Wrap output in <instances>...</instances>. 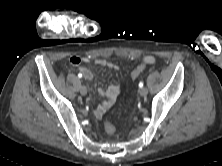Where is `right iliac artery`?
<instances>
[{"instance_id": "1", "label": "right iliac artery", "mask_w": 222, "mask_h": 166, "mask_svg": "<svg viewBox=\"0 0 222 166\" xmlns=\"http://www.w3.org/2000/svg\"><path fill=\"white\" fill-rule=\"evenodd\" d=\"M78 77H79V78H82V74H81V73H79V74H78Z\"/></svg>"}]
</instances>
